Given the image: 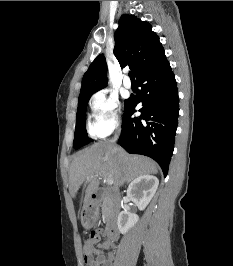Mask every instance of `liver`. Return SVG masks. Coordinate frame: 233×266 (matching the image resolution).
Wrapping results in <instances>:
<instances>
[{"label": "liver", "mask_w": 233, "mask_h": 266, "mask_svg": "<svg viewBox=\"0 0 233 266\" xmlns=\"http://www.w3.org/2000/svg\"><path fill=\"white\" fill-rule=\"evenodd\" d=\"M157 173V164L147 157L131 155L111 142L95 143L75 155L69 173L70 191L75 197L83 183H87V202L99 187L98 175L112 178L117 189L126 181Z\"/></svg>", "instance_id": "6515ba94"}]
</instances>
